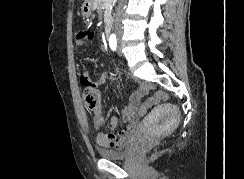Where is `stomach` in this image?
<instances>
[{"label":"stomach","mask_w":244,"mask_h":179,"mask_svg":"<svg viewBox=\"0 0 244 179\" xmlns=\"http://www.w3.org/2000/svg\"><path fill=\"white\" fill-rule=\"evenodd\" d=\"M93 10H95V8L93 6L92 0H85L83 6L81 8L83 18H89V16H91Z\"/></svg>","instance_id":"stomach-1"}]
</instances>
